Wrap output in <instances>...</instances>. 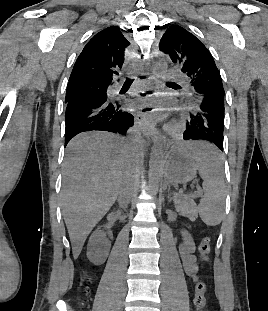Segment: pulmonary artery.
<instances>
[{"instance_id":"1","label":"pulmonary artery","mask_w":268,"mask_h":311,"mask_svg":"<svg viewBox=\"0 0 268 311\" xmlns=\"http://www.w3.org/2000/svg\"><path fill=\"white\" fill-rule=\"evenodd\" d=\"M179 76V73L176 71V70H169L168 73H167V77L169 78H174V77H177Z\"/></svg>"}]
</instances>
